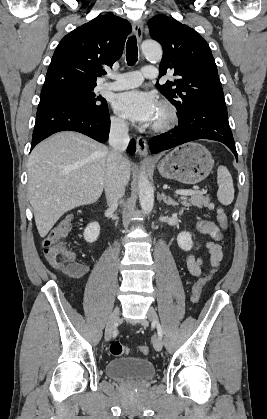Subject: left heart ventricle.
<instances>
[{
    "label": "left heart ventricle",
    "instance_id": "obj_1",
    "mask_svg": "<svg viewBox=\"0 0 267 419\" xmlns=\"http://www.w3.org/2000/svg\"><path fill=\"white\" fill-rule=\"evenodd\" d=\"M164 118H165L164 111L160 107H158V110L156 112V115H155V118H154L152 124L158 123V122L162 121Z\"/></svg>",
    "mask_w": 267,
    "mask_h": 419
}]
</instances>
